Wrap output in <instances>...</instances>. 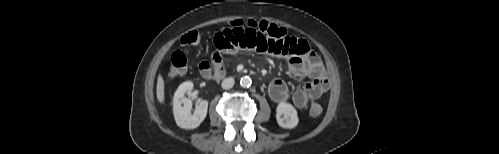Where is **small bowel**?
<instances>
[{
  "label": "small bowel",
  "instance_id": "small-bowel-1",
  "mask_svg": "<svg viewBox=\"0 0 499 154\" xmlns=\"http://www.w3.org/2000/svg\"><path fill=\"white\" fill-rule=\"evenodd\" d=\"M214 44L217 51L212 55L211 61L202 62L199 66L205 78L224 72L222 54L247 50L285 57L293 75L309 78V82L296 89L292 95L282 79L274 78L269 84L268 92L276 103L285 102L291 97L293 105L303 109L329 90L328 75L320 58L303 39L288 35L275 39L254 28L230 27L215 34Z\"/></svg>",
  "mask_w": 499,
  "mask_h": 154
}]
</instances>
